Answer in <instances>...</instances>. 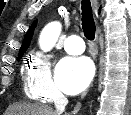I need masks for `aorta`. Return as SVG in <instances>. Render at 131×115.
Returning <instances> with one entry per match:
<instances>
[{
	"label": "aorta",
	"mask_w": 131,
	"mask_h": 115,
	"mask_svg": "<svg viewBox=\"0 0 131 115\" xmlns=\"http://www.w3.org/2000/svg\"><path fill=\"white\" fill-rule=\"evenodd\" d=\"M61 33V23L52 22L48 24L41 32L39 38L40 48L44 51H50L58 40Z\"/></svg>",
	"instance_id": "aorta-1"
}]
</instances>
